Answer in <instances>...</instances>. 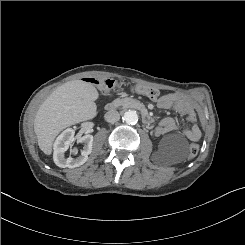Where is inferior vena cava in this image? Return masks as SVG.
Wrapping results in <instances>:
<instances>
[{"label":"inferior vena cava","mask_w":245,"mask_h":245,"mask_svg":"<svg viewBox=\"0 0 245 245\" xmlns=\"http://www.w3.org/2000/svg\"><path fill=\"white\" fill-rule=\"evenodd\" d=\"M104 118L107 122L114 123L120 119V114L117 110H110L105 114Z\"/></svg>","instance_id":"602c4592"}]
</instances>
